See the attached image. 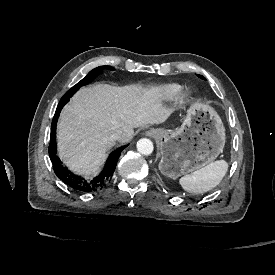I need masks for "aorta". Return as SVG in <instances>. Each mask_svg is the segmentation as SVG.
<instances>
[{
    "label": "aorta",
    "instance_id": "aorta-1",
    "mask_svg": "<svg viewBox=\"0 0 275 275\" xmlns=\"http://www.w3.org/2000/svg\"><path fill=\"white\" fill-rule=\"evenodd\" d=\"M137 150L142 155L149 156L153 153L154 145L150 139L143 138L137 142Z\"/></svg>",
    "mask_w": 275,
    "mask_h": 275
}]
</instances>
